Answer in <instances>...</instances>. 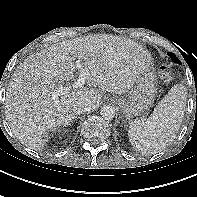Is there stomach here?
Wrapping results in <instances>:
<instances>
[{"instance_id": "stomach-1", "label": "stomach", "mask_w": 197, "mask_h": 197, "mask_svg": "<svg viewBox=\"0 0 197 197\" xmlns=\"http://www.w3.org/2000/svg\"><path fill=\"white\" fill-rule=\"evenodd\" d=\"M156 92V76L153 67L146 65L127 96L116 98V103L125 118L130 120L141 116L151 107L156 98Z\"/></svg>"}]
</instances>
